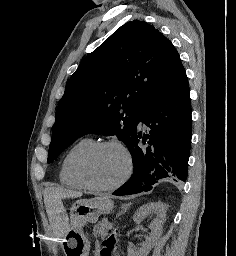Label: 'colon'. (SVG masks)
Masks as SVG:
<instances>
[{
  "label": "colon",
  "instance_id": "5ec220e1",
  "mask_svg": "<svg viewBox=\"0 0 236 256\" xmlns=\"http://www.w3.org/2000/svg\"><path fill=\"white\" fill-rule=\"evenodd\" d=\"M117 244V236L111 234L102 240V246L99 248L98 256H115V248Z\"/></svg>",
  "mask_w": 236,
  "mask_h": 256
}]
</instances>
